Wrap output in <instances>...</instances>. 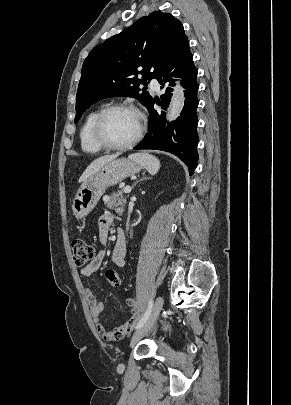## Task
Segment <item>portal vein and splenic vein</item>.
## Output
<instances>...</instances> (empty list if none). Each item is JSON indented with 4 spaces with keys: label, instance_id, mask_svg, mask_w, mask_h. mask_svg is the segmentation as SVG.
Masks as SVG:
<instances>
[{
    "label": "portal vein and splenic vein",
    "instance_id": "1",
    "mask_svg": "<svg viewBox=\"0 0 291 405\" xmlns=\"http://www.w3.org/2000/svg\"><path fill=\"white\" fill-rule=\"evenodd\" d=\"M123 191H124V193L128 194V193L131 192V187H130V186H126Z\"/></svg>",
    "mask_w": 291,
    "mask_h": 405
}]
</instances>
